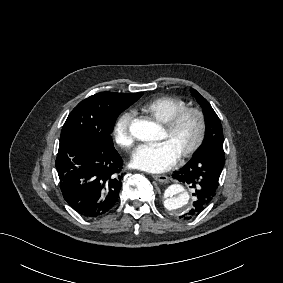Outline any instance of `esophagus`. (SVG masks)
Returning a JSON list of instances; mask_svg holds the SVG:
<instances>
[{"mask_svg": "<svg viewBox=\"0 0 283 283\" xmlns=\"http://www.w3.org/2000/svg\"><path fill=\"white\" fill-rule=\"evenodd\" d=\"M153 178L158 182L168 181V177L166 175H153Z\"/></svg>", "mask_w": 283, "mask_h": 283, "instance_id": "obj_1", "label": "esophagus"}]
</instances>
